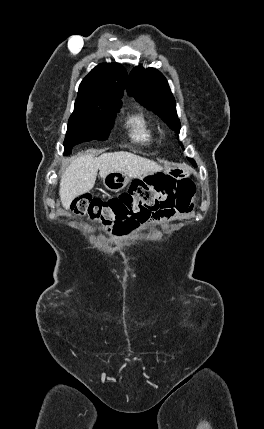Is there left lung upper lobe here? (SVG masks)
<instances>
[{
  "mask_svg": "<svg viewBox=\"0 0 264 429\" xmlns=\"http://www.w3.org/2000/svg\"><path fill=\"white\" fill-rule=\"evenodd\" d=\"M127 92L179 133L176 102L162 73L154 68L135 67L128 77Z\"/></svg>",
  "mask_w": 264,
  "mask_h": 429,
  "instance_id": "obj_1",
  "label": "left lung upper lobe"
}]
</instances>
